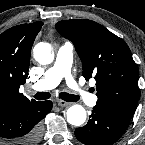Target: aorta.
<instances>
[{
	"instance_id": "obj_1",
	"label": "aorta",
	"mask_w": 145,
	"mask_h": 145,
	"mask_svg": "<svg viewBox=\"0 0 145 145\" xmlns=\"http://www.w3.org/2000/svg\"><path fill=\"white\" fill-rule=\"evenodd\" d=\"M35 60L40 64H49L54 60L55 54L52 46L47 42L38 43L33 50ZM67 121L74 126L82 125L86 120V111L79 104L72 105L68 108Z\"/></svg>"
}]
</instances>
